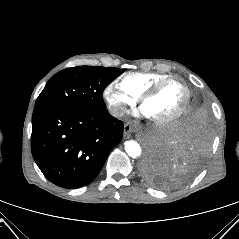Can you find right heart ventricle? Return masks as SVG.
Wrapping results in <instances>:
<instances>
[{
  "label": "right heart ventricle",
  "instance_id": "e07e8e85",
  "mask_svg": "<svg viewBox=\"0 0 239 239\" xmlns=\"http://www.w3.org/2000/svg\"><path fill=\"white\" fill-rule=\"evenodd\" d=\"M167 77L169 75L157 72H132L123 75L120 84L124 89L140 97L150 86Z\"/></svg>",
  "mask_w": 239,
  "mask_h": 239
}]
</instances>
